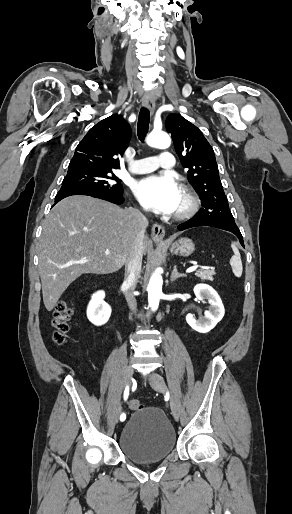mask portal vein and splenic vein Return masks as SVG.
Here are the masks:
<instances>
[{
	"label": "portal vein and splenic vein",
	"instance_id": "18ae733b",
	"mask_svg": "<svg viewBox=\"0 0 292 514\" xmlns=\"http://www.w3.org/2000/svg\"><path fill=\"white\" fill-rule=\"evenodd\" d=\"M105 254H110L109 250H106ZM198 266H192V268H188L186 272H194V270H197Z\"/></svg>",
	"mask_w": 292,
	"mask_h": 514
}]
</instances>
